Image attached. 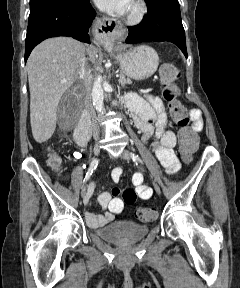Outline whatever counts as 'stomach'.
I'll return each mask as SVG.
<instances>
[{
	"instance_id": "stomach-1",
	"label": "stomach",
	"mask_w": 240,
	"mask_h": 288,
	"mask_svg": "<svg viewBox=\"0 0 240 288\" xmlns=\"http://www.w3.org/2000/svg\"><path fill=\"white\" fill-rule=\"evenodd\" d=\"M122 72L131 79L144 80L152 76L159 65L157 52L142 45L116 55Z\"/></svg>"
}]
</instances>
